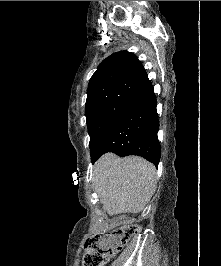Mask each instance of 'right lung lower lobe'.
<instances>
[{"label":"right lung lower lobe","instance_id":"obj_1","mask_svg":"<svg viewBox=\"0 0 221 266\" xmlns=\"http://www.w3.org/2000/svg\"><path fill=\"white\" fill-rule=\"evenodd\" d=\"M156 96L149 82L129 103L113 128L91 155L95 162L106 152L119 156L138 155L158 166L161 148Z\"/></svg>","mask_w":221,"mask_h":266}]
</instances>
